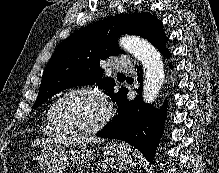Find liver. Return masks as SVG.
<instances>
[{
	"label": "liver",
	"instance_id": "liver-1",
	"mask_svg": "<svg viewBox=\"0 0 219 173\" xmlns=\"http://www.w3.org/2000/svg\"><path fill=\"white\" fill-rule=\"evenodd\" d=\"M87 141H92V142H100L101 139L99 138H95V137H92V138H87L86 139ZM47 142H50L49 140H36L32 143L33 146H37V145H43V144H46Z\"/></svg>",
	"mask_w": 219,
	"mask_h": 173
}]
</instances>
